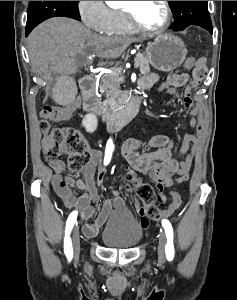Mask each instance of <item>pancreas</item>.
I'll return each mask as SVG.
<instances>
[{"label":"pancreas","instance_id":"cf45deb5","mask_svg":"<svg viewBox=\"0 0 237 300\" xmlns=\"http://www.w3.org/2000/svg\"><path fill=\"white\" fill-rule=\"evenodd\" d=\"M134 61L139 63L138 67L142 75H147V73H150L149 61L146 59V57H144V55L138 53ZM112 71H114V73H106V75L101 77L100 89L101 91H104L106 97H110V99H106V101L103 103L106 117H109V119H119L118 111H120V105L117 103L118 95H115V91H113V89H117V87L121 85L122 80H120L118 69H112Z\"/></svg>","mask_w":237,"mask_h":300}]
</instances>
